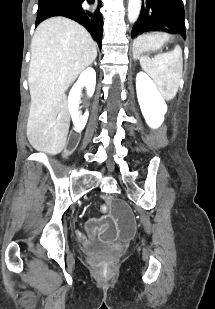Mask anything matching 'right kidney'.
Segmentation results:
<instances>
[{
	"label": "right kidney",
	"instance_id": "right-kidney-1",
	"mask_svg": "<svg viewBox=\"0 0 215 309\" xmlns=\"http://www.w3.org/2000/svg\"><path fill=\"white\" fill-rule=\"evenodd\" d=\"M95 84H96V72L94 68H91V66H88L86 70H83V72H81L77 82L73 84L69 92V96H68L69 110L72 116V120L74 122V126L75 128H77L78 132H80V130L84 128L87 122V118L89 116L88 110H86L84 114H80L78 110L79 108L78 100L81 94V86H86L88 96H92L95 90ZM74 112H77L76 120L74 118Z\"/></svg>",
	"mask_w": 215,
	"mask_h": 309
}]
</instances>
